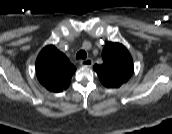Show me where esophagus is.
Here are the masks:
<instances>
[{"label":"esophagus","instance_id":"34e87169","mask_svg":"<svg viewBox=\"0 0 172 134\" xmlns=\"http://www.w3.org/2000/svg\"><path fill=\"white\" fill-rule=\"evenodd\" d=\"M93 64L94 63H93L92 59H90V58L80 61V65H82V66L92 67Z\"/></svg>","mask_w":172,"mask_h":134}]
</instances>
